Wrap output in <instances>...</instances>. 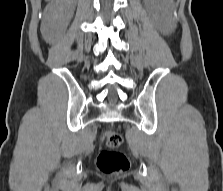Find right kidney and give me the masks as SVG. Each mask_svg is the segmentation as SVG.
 <instances>
[{
  "mask_svg": "<svg viewBox=\"0 0 223 191\" xmlns=\"http://www.w3.org/2000/svg\"><path fill=\"white\" fill-rule=\"evenodd\" d=\"M75 0H54L45 9L41 25L43 37L51 42L59 27H67L73 12Z\"/></svg>",
  "mask_w": 223,
  "mask_h": 191,
  "instance_id": "ca27d5eb",
  "label": "right kidney"
}]
</instances>
